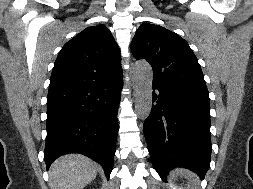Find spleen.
<instances>
[{
    "label": "spleen",
    "instance_id": "obj_1",
    "mask_svg": "<svg viewBox=\"0 0 253 189\" xmlns=\"http://www.w3.org/2000/svg\"><path fill=\"white\" fill-rule=\"evenodd\" d=\"M183 174H184L187 178H191V174H190V172H188L187 170H183Z\"/></svg>",
    "mask_w": 253,
    "mask_h": 189
}]
</instances>
